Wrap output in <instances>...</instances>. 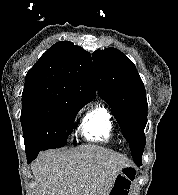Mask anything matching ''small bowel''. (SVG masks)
I'll return each instance as SVG.
<instances>
[{"mask_svg": "<svg viewBox=\"0 0 178 195\" xmlns=\"http://www.w3.org/2000/svg\"><path fill=\"white\" fill-rule=\"evenodd\" d=\"M127 190H128V187L125 186L120 191H118V194L117 195H127Z\"/></svg>", "mask_w": 178, "mask_h": 195, "instance_id": "obj_1", "label": "small bowel"}]
</instances>
